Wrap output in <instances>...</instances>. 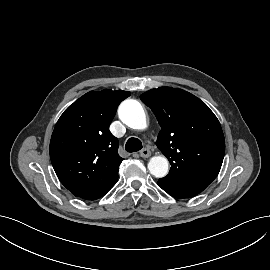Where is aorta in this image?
Returning <instances> with one entry per match:
<instances>
[{"instance_id": "1", "label": "aorta", "mask_w": 270, "mask_h": 270, "mask_svg": "<svg viewBox=\"0 0 270 270\" xmlns=\"http://www.w3.org/2000/svg\"><path fill=\"white\" fill-rule=\"evenodd\" d=\"M120 120L136 130L147 127L146 114L142 105L133 99H127L121 103L118 109ZM168 160L164 156H154L148 163L149 172L156 178L165 177L168 173Z\"/></svg>"}]
</instances>
